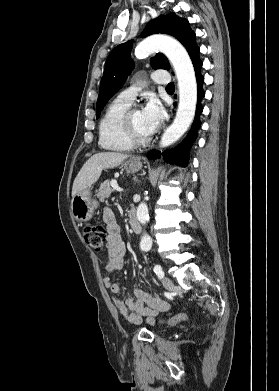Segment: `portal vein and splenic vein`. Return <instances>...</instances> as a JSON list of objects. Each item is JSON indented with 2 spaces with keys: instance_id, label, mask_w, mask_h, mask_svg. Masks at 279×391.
<instances>
[{
  "instance_id": "portal-vein-and-splenic-vein-1",
  "label": "portal vein and splenic vein",
  "mask_w": 279,
  "mask_h": 391,
  "mask_svg": "<svg viewBox=\"0 0 279 391\" xmlns=\"http://www.w3.org/2000/svg\"><path fill=\"white\" fill-rule=\"evenodd\" d=\"M116 184V181H113L112 182V185H115ZM116 190L118 191V192H122L123 191V189L122 188H119V187H116Z\"/></svg>"
}]
</instances>
